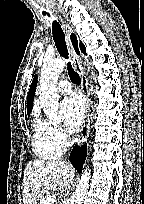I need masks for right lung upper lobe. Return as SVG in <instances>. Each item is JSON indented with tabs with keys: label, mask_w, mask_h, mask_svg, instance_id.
<instances>
[{
	"label": "right lung upper lobe",
	"mask_w": 144,
	"mask_h": 204,
	"mask_svg": "<svg viewBox=\"0 0 144 204\" xmlns=\"http://www.w3.org/2000/svg\"><path fill=\"white\" fill-rule=\"evenodd\" d=\"M71 41H72L75 51L77 52V54H79V50L77 46V39L74 34H71ZM36 85H37V75H35L33 79V82L31 84L30 91L28 94V98H27V114L28 115L30 114L33 108V98H34V92H35Z\"/></svg>",
	"instance_id": "right-lung-upper-lobe-1"
}]
</instances>
